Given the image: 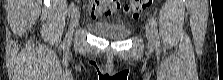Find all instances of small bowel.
<instances>
[{
	"label": "small bowel",
	"mask_w": 223,
	"mask_h": 80,
	"mask_svg": "<svg viewBox=\"0 0 223 80\" xmlns=\"http://www.w3.org/2000/svg\"><path fill=\"white\" fill-rule=\"evenodd\" d=\"M116 9L118 8L115 4H107L105 2H92L89 5V10L94 17L99 15H110Z\"/></svg>",
	"instance_id": "small-bowel-1"
}]
</instances>
